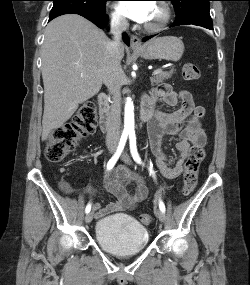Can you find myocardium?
Listing matches in <instances>:
<instances>
[{
  "label": "myocardium",
  "mask_w": 250,
  "mask_h": 285,
  "mask_svg": "<svg viewBox=\"0 0 250 285\" xmlns=\"http://www.w3.org/2000/svg\"><path fill=\"white\" fill-rule=\"evenodd\" d=\"M161 11V18L155 24H145L144 29L149 33H158L166 28L171 20V8L166 2L156 4Z\"/></svg>",
  "instance_id": "myocardium-1"
}]
</instances>
